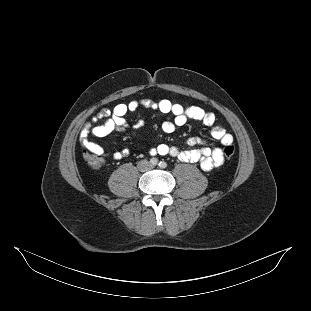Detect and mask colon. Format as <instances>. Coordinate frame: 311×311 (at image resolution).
I'll return each mask as SVG.
<instances>
[{
    "mask_svg": "<svg viewBox=\"0 0 311 311\" xmlns=\"http://www.w3.org/2000/svg\"><path fill=\"white\" fill-rule=\"evenodd\" d=\"M223 153L226 159H231L235 153L234 145L230 143L227 144L223 149ZM83 156L88 166L92 169H99L104 164V158L102 155L94 151L86 149Z\"/></svg>",
    "mask_w": 311,
    "mask_h": 311,
    "instance_id": "5ec220e1",
    "label": "colon"
}]
</instances>
